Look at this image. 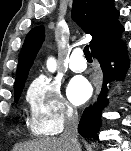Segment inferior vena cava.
Returning <instances> with one entry per match:
<instances>
[{
	"label": "inferior vena cava",
	"instance_id": "obj_1",
	"mask_svg": "<svg viewBox=\"0 0 131 151\" xmlns=\"http://www.w3.org/2000/svg\"><path fill=\"white\" fill-rule=\"evenodd\" d=\"M78 115L72 108L67 110L65 119V129L61 139L70 142L74 146V151H80V145L77 139Z\"/></svg>",
	"mask_w": 131,
	"mask_h": 151
}]
</instances>
